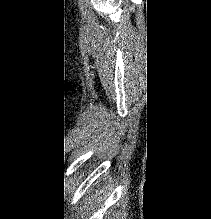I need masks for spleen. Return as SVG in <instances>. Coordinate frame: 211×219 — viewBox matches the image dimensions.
Instances as JSON below:
<instances>
[{"label": "spleen", "mask_w": 211, "mask_h": 219, "mask_svg": "<svg viewBox=\"0 0 211 219\" xmlns=\"http://www.w3.org/2000/svg\"><path fill=\"white\" fill-rule=\"evenodd\" d=\"M101 194H103V196H101ZM104 191L103 190H100V191H97L96 192V195H95V201L99 204L102 200H104Z\"/></svg>", "instance_id": "1"}]
</instances>
